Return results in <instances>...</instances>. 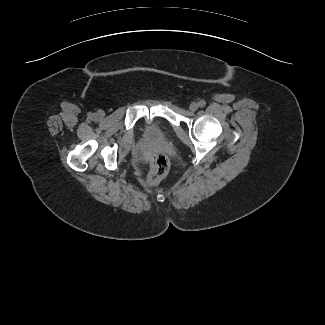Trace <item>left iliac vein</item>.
<instances>
[{
    "mask_svg": "<svg viewBox=\"0 0 325 325\" xmlns=\"http://www.w3.org/2000/svg\"><path fill=\"white\" fill-rule=\"evenodd\" d=\"M191 111H196L198 109V104L196 102H192L189 106Z\"/></svg>",
    "mask_w": 325,
    "mask_h": 325,
    "instance_id": "1",
    "label": "left iliac vein"
}]
</instances>
